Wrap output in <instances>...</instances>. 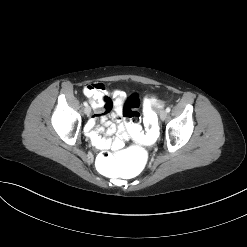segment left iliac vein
<instances>
[{
    "label": "left iliac vein",
    "instance_id": "obj_1",
    "mask_svg": "<svg viewBox=\"0 0 247 247\" xmlns=\"http://www.w3.org/2000/svg\"><path fill=\"white\" fill-rule=\"evenodd\" d=\"M166 118H167V112H166V110H162V111L160 112V119H161L162 121H164Z\"/></svg>",
    "mask_w": 247,
    "mask_h": 247
}]
</instances>
